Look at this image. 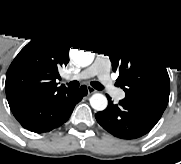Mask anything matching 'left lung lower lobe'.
<instances>
[{
    "label": "left lung lower lobe",
    "mask_w": 181,
    "mask_h": 164,
    "mask_svg": "<svg viewBox=\"0 0 181 164\" xmlns=\"http://www.w3.org/2000/svg\"><path fill=\"white\" fill-rule=\"evenodd\" d=\"M108 106L95 114L98 123L112 135L135 139L148 133L159 121L164 110L136 100L123 99L114 104L109 96Z\"/></svg>",
    "instance_id": "0a47b994"
}]
</instances>
